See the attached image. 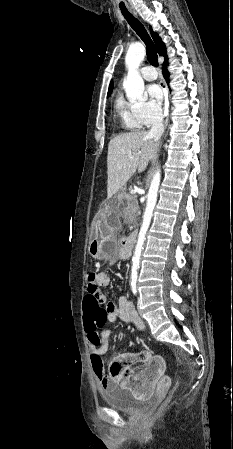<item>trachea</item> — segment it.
<instances>
[{"label": "trachea", "mask_w": 233, "mask_h": 449, "mask_svg": "<svg viewBox=\"0 0 233 449\" xmlns=\"http://www.w3.org/2000/svg\"><path fill=\"white\" fill-rule=\"evenodd\" d=\"M120 9L124 18L127 20L131 28L137 33V35L146 45V53L148 61L152 65L158 66L159 64L156 47L152 39L150 38L149 34L147 33L144 25L137 18H135L125 6H120Z\"/></svg>", "instance_id": "3493384b"}]
</instances>
